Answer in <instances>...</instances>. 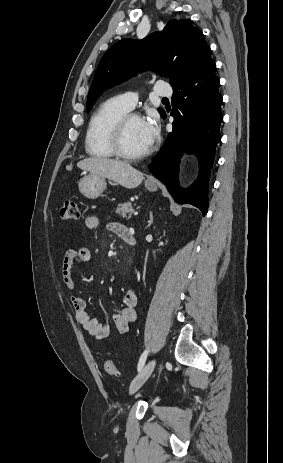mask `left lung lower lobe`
I'll use <instances>...</instances> for the list:
<instances>
[{
  "mask_svg": "<svg viewBox=\"0 0 283 463\" xmlns=\"http://www.w3.org/2000/svg\"><path fill=\"white\" fill-rule=\"evenodd\" d=\"M215 70L216 64L211 61L173 88V130L150 165L152 174L166 185L178 203L198 207L203 216L208 209L210 169L216 145L221 139L219 126L223 119L220 109L223 98L219 93L220 81ZM185 151L196 155L200 169L197 180L181 191L178 171L180 156Z\"/></svg>",
  "mask_w": 283,
  "mask_h": 463,
  "instance_id": "left-lung-lower-lobe-1",
  "label": "left lung lower lobe"
}]
</instances>
